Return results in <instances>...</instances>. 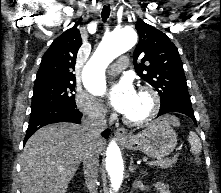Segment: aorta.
Returning a JSON list of instances; mask_svg holds the SVG:
<instances>
[{
  "label": "aorta",
  "instance_id": "1",
  "mask_svg": "<svg viewBox=\"0 0 221 193\" xmlns=\"http://www.w3.org/2000/svg\"><path fill=\"white\" fill-rule=\"evenodd\" d=\"M137 42V34L131 28L114 30L100 43L91 60L84 68V85L94 96H102L106 91L103 77L104 68L120 54L132 48ZM106 169L110 177L111 188L117 192L123 180V160L115 141L106 152Z\"/></svg>",
  "mask_w": 221,
  "mask_h": 193
}]
</instances>
